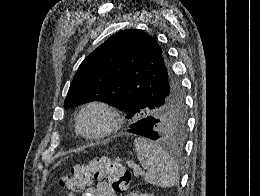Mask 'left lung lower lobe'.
<instances>
[{
	"instance_id": "1",
	"label": "left lung lower lobe",
	"mask_w": 260,
	"mask_h": 196,
	"mask_svg": "<svg viewBox=\"0 0 260 196\" xmlns=\"http://www.w3.org/2000/svg\"><path fill=\"white\" fill-rule=\"evenodd\" d=\"M154 127L155 122L153 119L144 118L133 123L128 132L155 140L157 138V134Z\"/></svg>"
}]
</instances>
